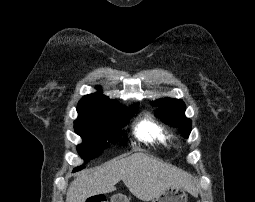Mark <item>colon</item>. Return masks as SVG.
<instances>
[{"instance_id": "5ec220e1", "label": "colon", "mask_w": 255, "mask_h": 202, "mask_svg": "<svg viewBox=\"0 0 255 202\" xmlns=\"http://www.w3.org/2000/svg\"><path fill=\"white\" fill-rule=\"evenodd\" d=\"M87 202H106L105 199L100 197H91L87 200Z\"/></svg>"}]
</instances>
